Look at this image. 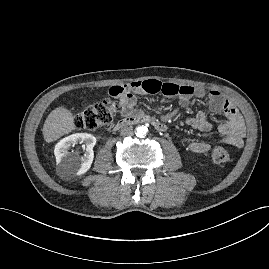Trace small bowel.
<instances>
[{
  "mask_svg": "<svg viewBox=\"0 0 269 269\" xmlns=\"http://www.w3.org/2000/svg\"><path fill=\"white\" fill-rule=\"evenodd\" d=\"M109 93L117 96L120 112L125 116L136 113V94L162 93L166 97H177L182 108H186L192 98H207L209 110L215 114H223L226 118V121L219 126L222 140L235 147H241L243 144L245 135L243 118L234 105L216 90L207 91L203 87L162 83L149 79L134 81L124 86H113ZM187 124L201 132H208L211 129L204 111H199L194 117L189 118ZM188 148L194 153H204L209 150L210 145L205 141L194 140L188 144Z\"/></svg>",
  "mask_w": 269,
  "mask_h": 269,
  "instance_id": "c3829d8e",
  "label": "small bowel"
}]
</instances>
